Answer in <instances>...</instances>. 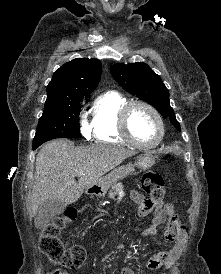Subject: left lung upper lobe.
Segmentation results:
<instances>
[{"instance_id": "5c2ea615", "label": "left lung upper lobe", "mask_w": 221, "mask_h": 274, "mask_svg": "<svg viewBox=\"0 0 221 274\" xmlns=\"http://www.w3.org/2000/svg\"><path fill=\"white\" fill-rule=\"evenodd\" d=\"M110 71L123 89L153 105L163 117H169L171 123L180 130V124L170 106L169 91L160 76L147 64L143 62L114 64Z\"/></svg>"}]
</instances>
